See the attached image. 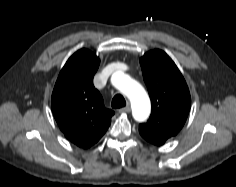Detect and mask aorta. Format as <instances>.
Listing matches in <instances>:
<instances>
[{
  "instance_id": "1",
  "label": "aorta",
  "mask_w": 236,
  "mask_h": 187,
  "mask_svg": "<svg viewBox=\"0 0 236 187\" xmlns=\"http://www.w3.org/2000/svg\"><path fill=\"white\" fill-rule=\"evenodd\" d=\"M112 84L128 97L132 105L133 117L144 121L150 114V100L144 88L135 80L121 72H116L111 78Z\"/></svg>"
}]
</instances>
